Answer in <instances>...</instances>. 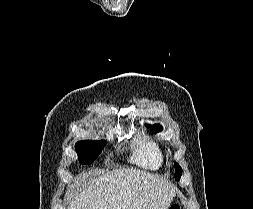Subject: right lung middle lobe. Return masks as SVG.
<instances>
[{"mask_svg":"<svg viewBox=\"0 0 253 209\" xmlns=\"http://www.w3.org/2000/svg\"><path fill=\"white\" fill-rule=\"evenodd\" d=\"M104 140H83L75 145L78 160L82 164L91 165L103 150Z\"/></svg>","mask_w":253,"mask_h":209,"instance_id":"dd1d6c3e","label":"right lung middle lobe"}]
</instances>
